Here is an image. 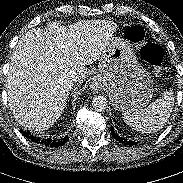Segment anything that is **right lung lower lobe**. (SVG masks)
Listing matches in <instances>:
<instances>
[{
    "instance_id": "right-lung-lower-lobe-1",
    "label": "right lung lower lobe",
    "mask_w": 183,
    "mask_h": 183,
    "mask_svg": "<svg viewBox=\"0 0 183 183\" xmlns=\"http://www.w3.org/2000/svg\"><path fill=\"white\" fill-rule=\"evenodd\" d=\"M20 132L23 133V135L30 139L32 142L37 143L42 146L50 147V148H57L63 146L68 140V137H65L63 139H58V140H52L50 138H41L38 136H34L31 134L29 131H23L20 129Z\"/></svg>"
}]
</instances>
